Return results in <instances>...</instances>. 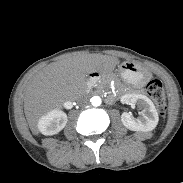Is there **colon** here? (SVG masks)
<instances>
[{"label":"colon","mask_w":183,"mask_h":183,"mask_svg":"<svg viewBox=\"0 0 183 183\" xmlns=\"http://www.w3.org/2000/svg\"><path fill=\"white\" fill-rule=\"evenodd\" d=\"M147 94L155 101L158 110L161 114H164L165 103V90L162 83L159 80H151L146 85Z\"/></svg>","instance_id":"obj_1"}]
</instances>
